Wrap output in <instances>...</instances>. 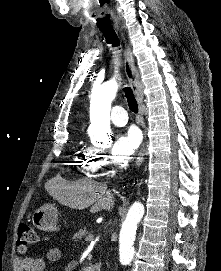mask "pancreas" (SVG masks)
Masks as SVG:
<instances>
[{
  "label": "pancreas",
  "mask_w": 221,
  "mask_h": 271,
  "mask_svg": "<svg viewBox=\"0 0 221 271\" xmlns=\"http://www.w3.org/2000/svg\"><path fill=\"white\" fill-rule=\"evenodd\" d=\"M87 234H92L90 231H87V229H79L77 233H74L73 235V242H84V237H86Z\"/></svg>",
  "instance_id": "1"
}]
</instances>
